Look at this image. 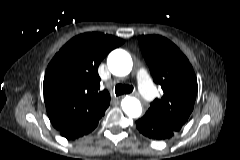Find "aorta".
I'll list each match as a JSON object with an SVG mask.
<instances>
[{"mask_svg":"<svg viewBox=\"0 0 240 160\" xmlns=\"http://www.w3.org/2000/svg\"><path fill=\"white\" fill-rule=\"evenodd\" d=\"M107 65L113 75L126 76L131 72L133 62L128 52L116 49L109 54ZM121 106L124 113L129 117L138 118L142 114L141 103L135 97L126 96L121 101Z\"/></svg>","mask_w":240,"mask_h":160,"instance_id":"1","label":"aorta"}]
</instances>
